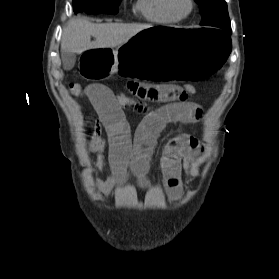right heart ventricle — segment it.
Instances as JSON below:
<instances>
[{
  "instance_id": "e07e8e85",
  "label": "right heart ventricle",
  "mask_w": 279,
  "mask_h": 279,
  "mask_svg": "<svg viewBox=\"0 0 279 279\" xmlns=\"http://www.w3.org/2000/svg\"><path fill=\"white\" fill-rule=\"evenodd\" d=\"M135 10L153 23L172 24L177 21L168 13L165 0H137Z\"/></svg>"
}]
</instances>
